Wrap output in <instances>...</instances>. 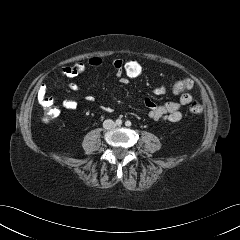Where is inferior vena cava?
Masks as SVG:
<instances>
[{"label":"inferior vena cava","mask_w":240,"mask_h":240,"mask_svg":"<svg viewBox=\"0 0 240 240\" xmlns=\"http://www.w3.org/2000/svg\"><path fill=\"white\" fill-rule=\"evenodd\" d=\"M103 127H104L105 129H111V128H114V127H115V123H114L113 120L108 119V120H105V121H104Z\"/></svg>","instance_id":"602c4592"}]
</instances>
